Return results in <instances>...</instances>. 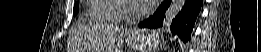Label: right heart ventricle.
<instances>
[{
    "instance_id": "obj_1",
    "label": "right heart ventricle",
    "mask_w": 261,
    "mask_h": 52,
    "mask_svg": "<svg viewBox=\"0 0 261 52\" xmlns=\"http://www.w3.org/2000/svg\"><path fill=\"white\" fill-rule=\"evenodd\" d=\"M118 6L115 0H91L88 19L95 23L121 24V17L116 15Z\"/></svg>"
}]
</instances>
